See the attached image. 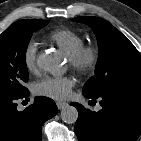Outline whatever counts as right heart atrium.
<instances>
[{"label":"right heart atrium","mask_w":141,"mask_h":141,"mask_svg":"<svg viewBox=\"0 0 141 141\" xmlns=\"http://www.w3.org/2000/svg\"><path fill=\"white\" fill-rule=\"evenodd\" d=\"M37 47L34 42H29L23 52V64L29 73L36 71Z\"/></svg>","instance_id":"obj_1"}]
</instances>
